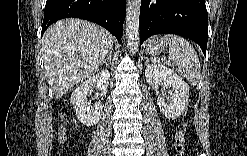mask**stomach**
Wrapping results in <instances>:
<instances>
[{"instance_id": "stomach-1", "label": "stomach", "mask_w": 247, "mask_h": 156, "mask_svg": "<svg viewBox=\"0 0 247 156\" xmlns=\"http://www.w3.org/2000/svg\"><path fill=\"white\" fill-rule=\"evenodd\" d=\"M167 47L168 43L164 37L155 36L148 40L146 51L151 55H159Z\"/></svg>"}]
</instances>
